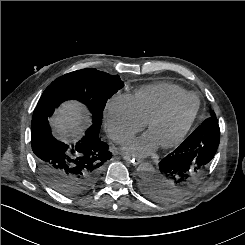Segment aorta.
<instances>
[{
  "label": "aorta",
  "mask_w": 245,
  "mask_h": 245,
  "mask_svg": "<svg viewBox=\"0 0 245 245\" xmlns=\"http://www.w3.org/2000/svg\"><path fill=\"white\" fill-rule=\"evenodd\" d=\"M140 178L144 180H150L155 174V168L152 164L144 162L141 163L137 168Z\"/></svg>",
  "instance_id": "1"
}]
</instances>
